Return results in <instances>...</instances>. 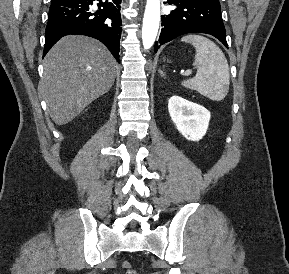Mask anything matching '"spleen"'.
<instances>
[{"mask_svg": "<svg viewBox=\"0 0 289 274\" xmlns=\"http://www.w3.org/2000/svg\"><path fill=\"white\" fill-rule=\"evenodd\" d=\"M181 41L195 47L193 66L197 69L196 76L182 82V85L211 100H223L230 84L229 66L224 53L213 41L201 35H186ZM160 73L164 75L162 71Z\"/></svg>", "mask_w": 289, "mask_h": 274, "instance_id": "3e777b00", "label": "spleen"}]
</instances>
